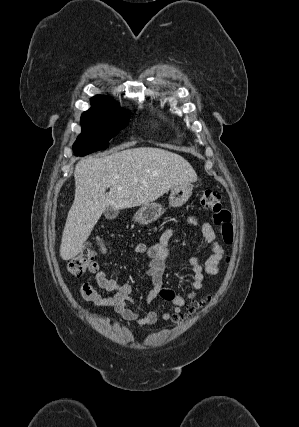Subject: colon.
Listing matches in <instances>:
<instances>
[{
    "label": "colon",
    "instance_id": "5ec220e1",
    "mask_svg": "<svg viewBox=\"0 0 299 427\" xmlns=\"http://www.w3.org/2000/svg\"><path fill=\"white\" fill-rule=\"evenodd\" d=\"M200 205L213 215V221L218 227V232L222 240L230 245L233 243L234 231L232 225V216L229 209L223 206L221 195L213 190L207 189L200 196ZM105 250V244L102 239L85 248L78 255L68 261L67 270L73 277H81L92 265L95 257ZM203 302L194 305L190 312H195L203 306Z\"/></svg>",
    "mask_w": 299,
    "mask_h": 427
}]
</instances>
